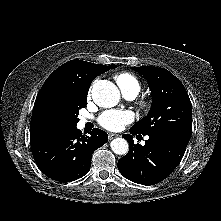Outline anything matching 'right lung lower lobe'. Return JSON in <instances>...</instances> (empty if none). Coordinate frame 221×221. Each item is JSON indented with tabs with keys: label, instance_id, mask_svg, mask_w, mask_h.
I'll return each instance as SVG.
<instances>
[{
	"label": "right lung lower lobe",
	"instance_id": "obj_1",
	"mask_svg": "<svg viewBox=\"0 0 221 221\" xmlns=\"http://www.w3.org/2000/svg\"><path fill=\"white\" fill-rule=\"evenodd\" d=\"M90 136L72 126L31 142L39 169L49 178L69 182L83 177L91 167L93 152L108 141L105 131L94 128Z\"/></svg>",
	"mask_w": 221,
	"mask_h": 221
}]
</instances>
